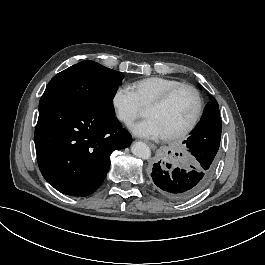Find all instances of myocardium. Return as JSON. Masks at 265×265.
<instances>
[{
  "instance_id": "f54148a6",
  "label": "myocardium",
  "mask_w": 265,
  "mask_h": 265,
  "mask_svg": "<svg viewBox=\"0 0 265 265\" xmlns=\"http://www.w3.org/2000/svg\"><path fill=\"white\" fill-rule=\"evenodd\" d=\"M183 91H189L193 94L195 101H196L195 114L191 122L185 128H183L182 130L176 133L166 135L165 136L166 140H178V139L184 138L188 134H190L197 126L198 122L200 121L203 115V110H204L203 100H202L199 90L192 85L183 84L181 86H178L168 91L166 94H164L162 97H160L158 100H156L155 102H153L147 107V109H160L166 106L177 94Z\"/></svg>"
}]
</instances>
